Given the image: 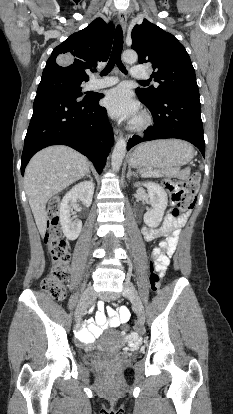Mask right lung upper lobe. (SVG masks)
<instances>
[{"label": "right lung upper lobe", "instance_id": "right-lung-upper-lobe-1", "mask_svg": "<svg viewBox=\"0 0 233 414\" xmlns=\"http://www.w3.org/2000/svg\"><path fill=\"white\" fill-rule=\"evenodd\" d=\"M113 33V23L107 25L103 19H95L89 26L72 34L53 50L42 77L88 81L87 70L107 61Z\"/></svg>", "mask_w": 233, "mask_h": 414}]
</instances>
